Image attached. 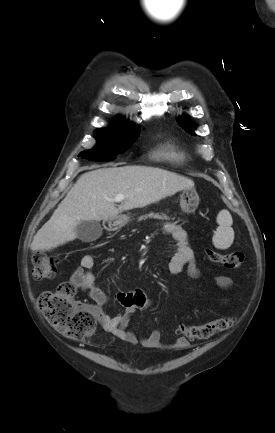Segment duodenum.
<instances>
[{
    "instance_id": "duodenum-1",
    "label": "duodenum",
    "mask_w": 275,
    "mask_h": 433,
    "mask_svg": "<svg viewBox=\"0 0 275 433\" xmlns=\"http://www.w3.org/2000/svg\"><path fill=\"white\" fill-rule=\"evenodd\" d=\"M104 224H105V226H106L108 229H110V230L115 229V223H114V221L111 220V219H107V220L104 222Z\"/></svg>"
}]
</instances>
